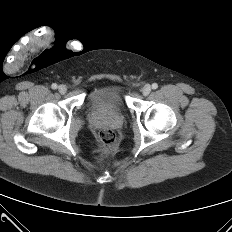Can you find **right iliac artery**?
<instances>
[{
	"instance_id": "right-iliac-artery-1",
	"label": "right iliac artery",
	"mask_w": 232,
	"mask_h": 232,
	"mask_svg": "<svg viewBox=\"0 0 232 232\" xmlns=\"http://www.w3.org/2000/svg\"><path fill=\"white\" fill-rule=\"evenodd\" d=\"M51 87H52V89H57V84H55V83H53L52 85H51Z\"/></svg>"
}]
</instances>
